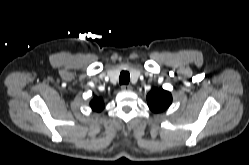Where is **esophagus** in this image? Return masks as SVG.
I'll return each mask as SVG.
<instances>
[{
	"mask_svg": "<svg viewBox=\"0 0 249 165\" xmlns=\"http://www.w3.org/2000/svg\"><path fill=\"white\" fill-rule=\"evenodd\" d=\"M121 89L123 91H131L132 90V86L131 85H122Z\"/></svg>",
	"mask_w": 249,
	"mask_h": 165,
	"instance_id": "1",
	"label": "esophagus"
}]
</instances>
